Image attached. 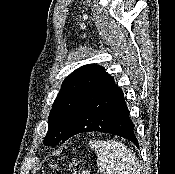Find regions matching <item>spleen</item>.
<instances>
[{"mask_svg": "<svg viewBox=\"0 0 175 174\" xmlns=\"http://www.w3.org/2000/svg\"><path fill=\"white\" fill-rule=\"evenodd\" d=\"M89 145L97 154V166L103 174H140L135 153L123 143L91 140Z\"/></svg>", "mask_w": 175, "mask_h": 174, "instance_id": "spleen-1", "label": "spleen"}]
</instances>
